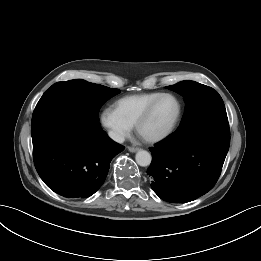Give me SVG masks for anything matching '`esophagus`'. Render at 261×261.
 <instances>
[{
	"instance_id": "obj_1",
	"label": "esophagus",
	"mask_w": 261,
	"mask_h": 261,
	"mask_svg": "<svg viewBox=\"0 0 261 261\" xmlns=\"http://www.w3.org/2000/svg\"><path fill=\"white\" fill-rule=\"evenodd\" d=\"M128 150H129L130 152L134 153V152H137V151L139 150V148H138V147H132V146H130V147H128Z\"/></svg>"
}]
</instances>
